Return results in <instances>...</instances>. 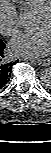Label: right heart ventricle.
<instances>
[{
  "label": "right heart ventricle",
  "mask_w": 51,
  "mask_h": 153,
  "mask_svg": "<svg viewBox=\"0 0 51 153\" xmlns=\"http://www.w3.org/2000/svg\"><path fill=\"white\" fill-rule=\"evenodd\" d=\"M24 4L29 11L39 13L51 5V0H24Z\"/></svg>",
  "instance_id": "right-heart-ventricle-1"
}]
</instances>
